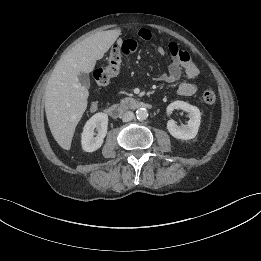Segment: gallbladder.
Instances as JSON below:
<instances>
[{
    "mask_svg": "<svg viewBox=\"0 0 261 261\" xmlns=\"http://www.w3.org/2000/svg\"><path fill=\"white\" fill-rule=\"evenodd\" d=\"M78 82L84 86V87H89L90 86V78L89 75L86 73H81L78 76Z\"/></svg>",
    "mask_w": 261,
    "mask_h": 261,
    "instance_id": "bac80fb5",
    "label": "gallbladder"
}]
</instances>
